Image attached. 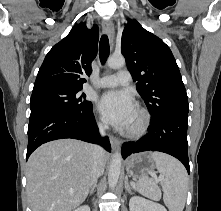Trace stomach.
<instances>
[{"label":"stomach","instance_id":"0dacf381","mask_svg":"<svg viewBox=\"0 0 221 211\" xmlns=\"http://www.w3.org/2000/svg\"><path fill=\"white\" fill-rule=\"evenodd\" d=\"M155 168V162L149 152L134 155L126 163V171L129 175L140 178L148 176Z\"/></svg>","mask_w":221,"mask_h":211}]
</instances>
